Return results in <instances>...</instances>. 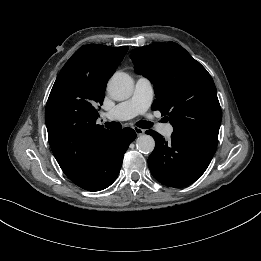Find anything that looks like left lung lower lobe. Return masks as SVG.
<instances>
[{
	"label": "left lung lower lobe",
	"instance_id": "left-lung-lower-lobe-1",
	"mask_svg": "<svg viewBox=\"0 0 261 261\" xmlns=\"http://www.w3.org/2000/svg\"><path fill=\"white\" fill-rule=\"evenodd\" d=\"M155 139V148L148 158L154 178L170 187H183L195 182L207 169L217 142L190 139L174 133L171 140L153 130L146 131Z\"/></svg>",
	"mask_w": 261,
	"mask_h": 261
}]
</instances>
